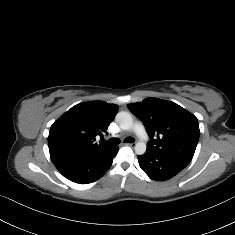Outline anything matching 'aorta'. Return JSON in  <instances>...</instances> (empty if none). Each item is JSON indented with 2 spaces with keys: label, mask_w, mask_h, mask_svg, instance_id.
Masks as SVG:
<instances>
[{
  "label": "aorta",
  "mask_w": 235,
  "mask_h": 235,
  "mask_svg": "<svg viewBox=\"0 0 235 235\" xmlns=\"http://www.w3.org/2000/svg\"><path fill=\"white\" fill-rule=\"evenodd\" d=\"M116 122L120 125L121 129L124 131H130L134 128V119L132 115L128 112H119L116 115ZM147 145L144 140H139L135 144V152L137 154H144Z\"/></svg>",
  "instance_id": "1"
}]
</instances>
